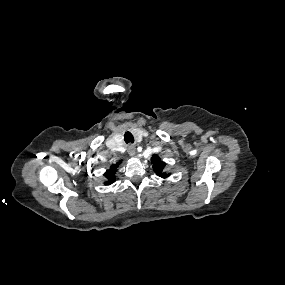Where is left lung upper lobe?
Masks as SVG:
<instances>
[{
    "instance_id": "left-lung-upper-lobe-1",
    "label": "left lung upper lobe",
    "mask_w": 285,
    "mask_h": 285,
    "mask_svg": "<svg viewBox=\"0 0 285 285\" xmlns=\"http://www.w3.org/2000/svg\"><path fill=\"white\" fill-rule=\"evenodd\" d=\"M151 162L154 164L153 168L156 174L162 178H166L169 174L164 172L165 163L161 161V159L157 155H153L151 158Z\"/></svg>"
}]
</instances>
